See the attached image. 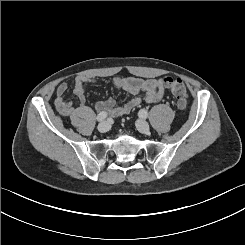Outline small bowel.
Instances as JSON below:
<instances>
[{
    "label": "small bowel",
    "instance_id": "small-bowel-1",
    "mask_svg": "<svg viewBox=\"0 0 245 245\" xmlns=\"http://www.w3.org/2000/svg\"><path fill=\"white\" fill-rule=\"evenodd\" d=\"M96 78L91 76H78L74 80L73 93L84 103L86 100L85 87L88 83H95ZM112 83L115 87L133 95L134 97L123 106H116L115 100L109 98L96 104L97 110H105L111 117H118L129 113L133 108L146 102L154 104L159 102L165 92L163 79H142L136 77H114ZM68 91V84L60 83L56 89L55 106L58 112L65 117H69L76 126L81 125L88 112V108L84 105L75 107L71 101H67L64 97Z\"/></svg>",
    "mask_w": 245,
    "mask_h": 245
}]
</instances>
